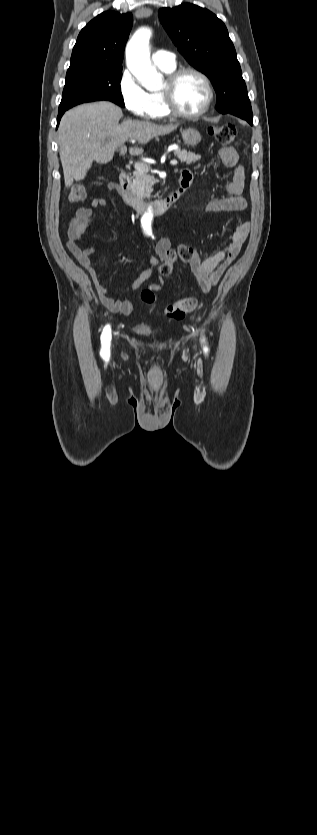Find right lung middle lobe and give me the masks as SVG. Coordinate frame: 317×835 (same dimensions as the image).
Listing matches in <instances>:
<instances>
[{"instance_id": "1", "label": "right lung middle lobe", "mask_w": 317, "mask_h": 835, "mask_svg": "<svg viewBox=\"0 0 317 835\" xmlns=\"http://www.w3.org/2000/svg\"><path fill=\"white\" fill-rule=\"evenodd\" d=\"M122 68L108 66L70 67L66 74L59 111L84 102L107 100L124 107L120 81Z\"/></svg>"}]
</instances>
